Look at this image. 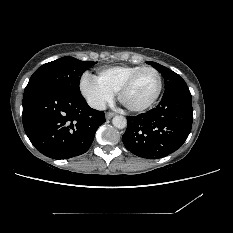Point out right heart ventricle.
<instances>
[{"instance_id":"e07e8e85","label":"right heart ventricle","mask_w":233,"mask_h":233,"mask_svg":"<svg viewBox=\"0 0 233 233\" xmlns=\"http://www.w3.org/2000/svg\"><path fill=\"white\" fill-rule=\"evenodd\" d=\"M142 68L143 66L128 65L105 68L98 72L95 80L99 85L114 95L133 73Z\"/></svg>"}]
</instances>
